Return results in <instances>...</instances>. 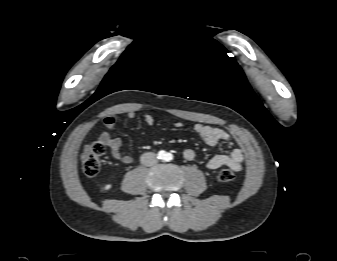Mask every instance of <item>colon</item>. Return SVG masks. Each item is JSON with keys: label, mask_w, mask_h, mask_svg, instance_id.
Wrapping results in <instances>:
<instances>
[{"label": "colon", "mask_w": 337, "mask_h": 261, "mask_svg": "<svg viewBox=\"0 0 337 261\" xmlns=\"http://www.w3.org/2000/svg\"><path fill=\"white\" fill-rule=\"evenodd\" d=\"M104 154L105 146L101 142H94L84 147L81 153V165L87 176H95L99 173ZM218 177L223 182H231L235 176L230 168H222Z\"/></svg>", "instance_id": "obj_1"}]
</instances>
